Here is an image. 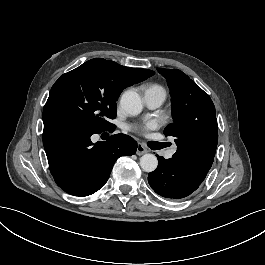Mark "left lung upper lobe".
<instances>
[{
  "instance_id": "left-lung-upper-lobe-1",
  "label": "left lung upper lobe",
  "mask_w": 265,
  "mask_h": 265,
  "mask_svg": "<svg viewBox=\"0 0 265 265\" xmlns=\"http://www.w3.org/2000/svg\"><path fill=\"white\" fill-rule=\"evenodd\" d=\"M167 79L172 96L173 123L164 134L173 136L178 147L172 158L205 178L218 143L214 104L193 80L178 69L157 68Z\"/></svg>"
}]
</instances>
